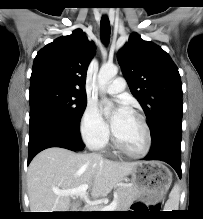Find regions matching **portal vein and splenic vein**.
<instances>
[{"label": "portal vein and splenic vein", "mask_w": 203, "mask_h": 219, "mask_svg": "<svg viewBox=\"0 0 203 219\" xmlns=\"http://www.w3.org/2000/svg\"><path fill=\"white\" fill-rule=\"evenodd\" d=\"M87 189L88 185L83 184L77 188L71 189V190H63V191H55L57 195L60 196H80L82 199H84L87 203H89L88 197H87ZM117 207V198H115L109 205L107 206H102L100 209L98 207L96 208L95 211H113Z\"/></svg>", "instance_id": "18ae733b"}]
</instances>
